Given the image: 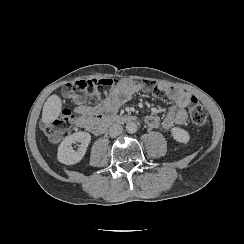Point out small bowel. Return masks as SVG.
<instances>
[{"label":"small bowel","mask_w":244,"mask_h":244,"mask_svg":"<svg viewBox=\"0 0 244 244\" xmlns=\"http://www.w3.org/2000/svg\"><path fill=\"white\" fill-rule=\"evenodd\" d=\"M160 88L173 104L163 119L151 114L146 116L145 122L150 127L156 128L162 125L165 130L171 131L175 126L186 122L187 108L196 98L180 87L163 84ZM142 89L140 82L124 80L113 86L108 96L98 104H78L74 109L76 126L92 134L101 135L105 119L112 116L122 104L131 100Z\"/></svg>","instance_id":"small-bowel-1"}]
</instances>
